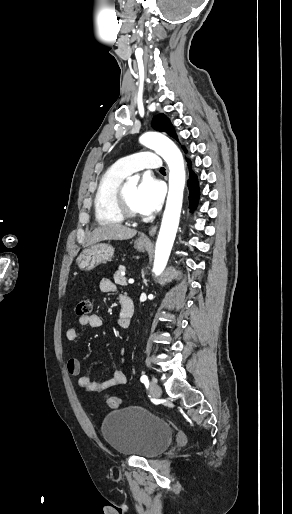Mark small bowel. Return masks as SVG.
<instances>
[{
  "mask_svg": "<svg viewBox=\"0 0 292 514\" xmlns=\"http://www.w3.org/2000/svg\"><path fill=\"white\" fill-rule=\"evenodd\" d=\"M100 291L105 294H111L116 291L115 284L109 278H102L99 282ZM103 321L99 314L93 313L86 316H81L78 319V324L68 328L66 337L69 341H76L80 334L82 327H90L99 329L102 327ZM118 326L122 329H127L130 326V318L128 319L120 306ZM123 353L124 350L120 349ZM81 361L77 357H72L67 362L68 373L76 378L77 384L90 393H98L105 391L111 387L125 384L127 382V375L121 367V364L113 369L112 375L109 378L92 381L88 375L81 374Z\"/></svg>",
  "mask_w": 292,
  "mask_h": 514,
  "instance_id": "obj_1",
  "label": "small bowel"
}]
</instances>
